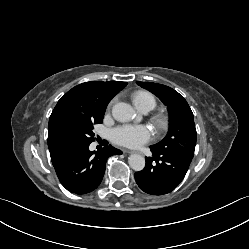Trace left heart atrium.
Masks as SVG:
<instances>
[{
    "label": "left heart atrium",
    "instance_id": "39dd6f15",
    "mask_svg": "<svg viewBox=\"0 0 249 249\" xmlns=\"http://www.w3.org/2000/svg\"><path fill=\"white\" fill-rule=\"evenodd\" d=\"M151 137L152 132L145 125H122L111 132L113 142L129 148H137L147 143Z\"/></svg>",
    "mask_w": 249,
    "mask_h": 249
}]
</instances>
